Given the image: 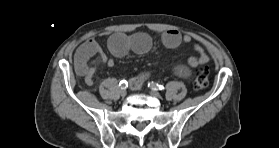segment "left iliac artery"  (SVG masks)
<instances>
[{
    "instance_id": "44dca946",
    "label": "left iliac artery",
    "mask_w": 279,
    "mask_h": 148,
    "mask_svg": "<svg viewBox=\"0 0 279 148\" xmlns=\"http://www.w3.org/2000/svg\"><path fill=\"white\" fill-rule=\"evenodd\" d=\"M148 87H150L152 90H164L165 87L163 85H160L155 82L148 83Z\"/></svg>"
}]
</instances>
